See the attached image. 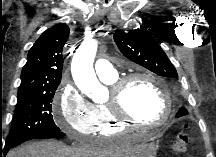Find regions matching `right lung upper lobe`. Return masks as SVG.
Wrapping results in <instances>:
<instances>
[{
	"label": "right lung upper lobe",
	"mask_w": 216,
	"mask_h": 157,
	"mask_svg": "<svg viewBox=\"0 0 216 157\" xmlns=\"http://www.w3.org/2000/svg\"><path fill=\"white\" fill-rule=\"evenodd\" d=\"M68 35L69 27L65 24H57L42 33L29 50L21 73L18 97L58 87L63 67L62 48Z\"/></svg>",
	"instance_id": "obj_1"
}]
</instances>
